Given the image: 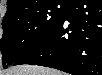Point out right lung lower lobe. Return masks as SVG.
Listing matches in <instances>:
<instances>
[{"label": "right lung lower lobe", "instance_id": "obj_1", "mask_svg": "<svg viewBox=\"0 0 102 75\" xmlns=\"http://www.w3.org/2000/svg\"><path fill=\"white\" fill-rule=\"evenodd\" d=\"M98 10L94 1H70L61 22L33 52L15 64L46 66L74 75L99 71L102 48L101 30L96 26L100 22Z\"/></svg>", "mask_w": 102, "mask_h": 75}]
</instances>
